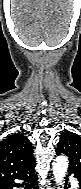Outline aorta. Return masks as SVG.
I'll use <instances>...</instances> for the list:
<instances>
[{"label": "aorta", "instance_id": "obj_1", "mask_svg": "<svg viewBox=\"0 0 81 189\" xmlns=\"http://www.w3.org/2000/svg\"><path fill=\"white\" fill-rule=\"evenodd\" d=\"M68 168V159L65 156H58L53 162V175L57 185H63L64 177ZM60 189V187H58Z\"/></svg>", "mask_w": 81, "mask_h": 189}]
</instances>
